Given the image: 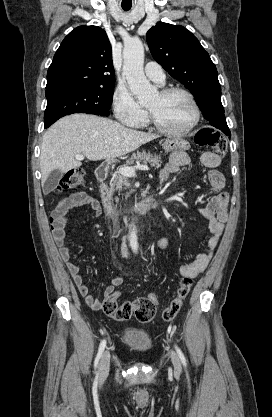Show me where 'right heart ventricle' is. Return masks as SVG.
Instances as JSON below:
<instances>
[{
  "label": "right heart ventricle",
  "instance_id": "1",
  "mask_svg": "<svg viewBox=\"0 0 272 417\" xmlns=\"http://www.w3.org/2000/svg\"><path fill=\"white\" fill-rule=\"evenodd\" d=\"M146 124H147V120L145 118V120L141 122L139 125H137L136 127H144Z\"/></svg>",
  "mask_w": 272,
  "mask_h": 417
}]
</instances>
